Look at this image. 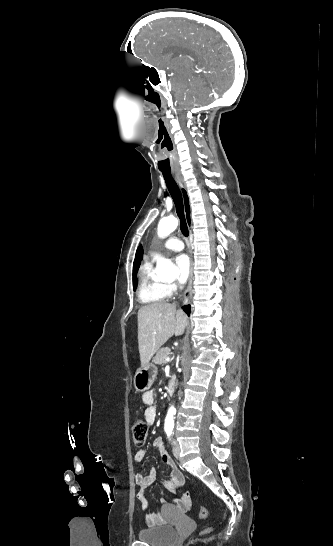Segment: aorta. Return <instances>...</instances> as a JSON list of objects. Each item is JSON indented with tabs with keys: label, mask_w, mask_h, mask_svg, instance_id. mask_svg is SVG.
<instances>
[{
	"label": "aorta",
	"mask_w": 333,
	"mask_h": 546,
	"mask_svg": "<svg viewBox=\"0 0 333 546\" xmlns=\"http://www.w3.org/2000/svg\"><path fill=\"white\" fill-rule=\"evenodd\" d=\"M177 226L178 220L175 217H164L160 220L158 224L157 233L160 237H166L170 233H172L177 228ZM155 273L160 279L172 281L175 278V267L171 261L164 258H159L157 260ZM175 413L176 409L173 406L170 407L165 419L166 427H173Z\"/></svg>",
	"instance_id": "aorta-1"
}]
</instances>
